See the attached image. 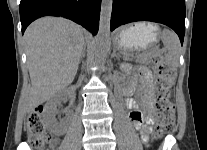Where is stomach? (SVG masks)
Wrapping results in <instances>:
<instances>
[{
  "mask_svg": "<svg viewBox=\"0 0 207 150\" xmlns=\"http://www.w3.org/2000/svg\"><path fill=\"white\" fill-rule=\"evenodd\" d=\"M159 27L150 22H138L118 32L115 46L125 53L144 52L158 39Z\"/></svg>",
  "mask_w": 207,
  "mask_h": 150,
  "instance_id": "0dacf381",
  "label": "stomach"
}]
</instances>
